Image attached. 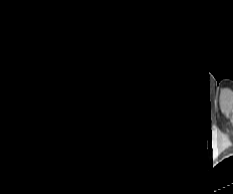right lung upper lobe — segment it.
<instances>
[{
    "label": "right lung upper lobe",
    "instance_id": "1",
    "mask_svg": "<svg viewBox=\"0 0 233 194\" xmlns=\"http://www.w3.org/2000/svg\"><path fill=\"white\" fill-rule=\"evenodd\" d=\"M69 141L72 148L78 152H84L89 147V140L83 131H74V134H72V138H70Z\"/></svg>",
    "mask_w": 233,
    "mask_h": 194
}]
</instances>
